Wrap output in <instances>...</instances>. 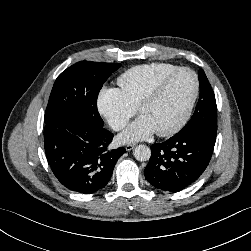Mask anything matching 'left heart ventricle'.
Returning a JSON list of instances; mask_svg holds the SVG:
<instances>
[{
  "label": "left heart ventricle",
  "instance_id": "b2bd125f",
  "mask_svg": "<svg viewBox=\"0 0 251 251\" xmlns=\"http://www.w3.org/2000/svg\"><path fill=\"white\" fill-rule=\"evenodd\" d=\"M194 78L187 72L176 75L160 96L140 111L155 131L174 126L184 114L194 92Z\"/></svg>",
  "mask_w": 251,
  "mask_h": 251
}]
</instances>
